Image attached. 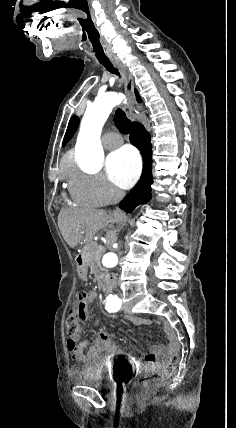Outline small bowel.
Segmentation results:
<instances>
[{
    "label": "small bowel",
    "instance_id": "obj_1",
    "mask_svg": "<svg viewBox=\"0 0 236 428\" xmlns=\"http://www.w3.org/2000/svg\"><path fill=\"white\" fill-rule=\"evenodd\" d=\"M128 319L137 325L148 323L147 320L140 317H128ZM157 323L163 328L169 343L167 345L153 346L150 352L145 354L144 364L147 368H156L160 366L165 358L169 355L171 350L177 345L175 331L169 321L166 319H160ZM71 350L73 351V358L78 362H82L86 359L92 361H98L102 359L109 360L115 356H121L126 357L127 362L133 367L140 368L142 366V363L135 356L128 354L127 351L118 347L110 339L105 329H102L99 332V336L92 347L89 349L87 357H85L79 349Z\"/></svg>",
    "mask_w": 236,
    "mask_h": 428
}]
</instances>
